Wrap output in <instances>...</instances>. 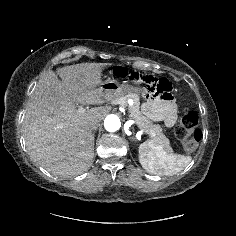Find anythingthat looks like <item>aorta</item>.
Here are the masks:
<instances>
[{
	"mask_svg": "<svg viewBox=\"0 0 236 236\" xmlns=\"http://www.w3.org/2000/svg\"><path fill=\"white\" fill-rule=\"evenodd\" d=\"M104 127L109 132H115L121 127L120 119L117 115L111 114L105 118Z\"/></svg>",
	"mask_w": 236,
	"mask_h": 236,
	"instance_id": "762f6f07",
	"label": "aorta"
}]
</instances>
